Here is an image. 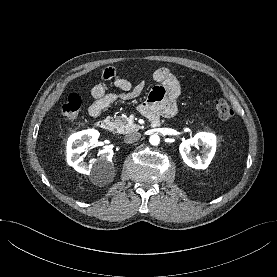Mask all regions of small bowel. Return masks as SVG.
<instances>
[{"mask_svg":"<svg viewBox=\"0 0 277 277\" xmlns=\"http://www.w3.org/2000/svg\"><path fill=\"white\" fill-rule=\"evenodd\" d=\"M152 77L159 85L151 90L148 99L140 105V112L147 118L174 116L180 96V85L176 76L167 68H159ZM101 79L102 81L91 90L94 101L89 107V114L93 118L99 117L114 102L135 98L146 89L145 80L133 84L128 79L118 76L112 68H106L102 72ZM105 82H111L119 92H107Z\"/></svg>","mask_w":277,"mask_h":277,"instance_id":"obj_1","label":"small bowel"}]
</instances>
